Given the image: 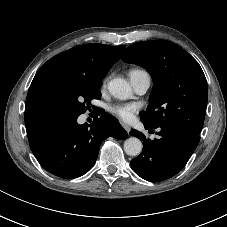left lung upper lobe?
<instances>
[{
	"label": "left lung upper lobe",
	"instance_id": "obj_1",
	"mask_svg": "<svg viewBox=\"0 0 227 227\" xmlns=\"http://www.w3.org/2000/svg\"><path fill=\"white\" fill-rule=\"evenodd\" d=\"M123 61L145 68L153 79L150 106L140 113L151 127L165 124L200 134L207 107V81L198 62L177 44L165 40L130 45Z\"/></svg>",
	"mask_w": 227,
	"mask_h": 227
}]
</instances>
